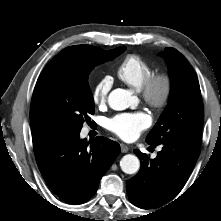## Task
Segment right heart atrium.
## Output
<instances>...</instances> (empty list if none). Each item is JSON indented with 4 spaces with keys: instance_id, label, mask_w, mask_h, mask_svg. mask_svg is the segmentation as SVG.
Wrapping results in <instances>:
<instances>
[{
    "instance_id": "d8ad5b80",
    "label": "right heart atrium",
    "mask_w": 221,
    "mask_h": 221,
    "mask_svg": "<svg viewBox=\"0 0 221 221\" xmlns=\"http://www.w3.org/2000/svg\"><path fill=\"white\" fill-rule=\"evenodd\" d=\"M112 87L110 76H104L99 79L93 87L91 98L95 105L104 106L107 103L108 95Z\"/></svg>"
}]
</instances>
